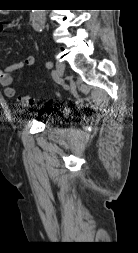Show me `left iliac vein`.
<instances>
[{"label": "left iliac vein", "instance_id": "left-iliac-vein-1", "mask_svg": "<svg viewBox=\"0 0 138 253\" xmlns=\"http://www.w3.org/2000/svg\"><path fill=\"white\" fill-rule=\"evenodd\" d=\"M65 71V64L62 62H57L56 63V75L58 79H62Z\"/></svg>", "mask_w": 138, "mask_h": 253}]
</instances>
